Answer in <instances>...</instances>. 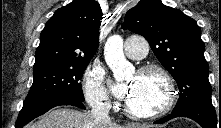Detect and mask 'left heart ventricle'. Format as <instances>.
Instances as JSON below:
<instances>
[{
  "mask_svg": "<svg viewBox=\"0 0 221 128\" xmlns=\"http://www.w3.org/2000/svg\"><path fill=\"white\" fill-rule=\"evenodd\" d=\"M133 90L126 99L129 107L134 111L155 109L156 103L164 99V83L160 76L154 73L141 77H131Z\"/></svg>",
  "mask_w": 221,
  "mask_h": 128,
  "instance_id": "obj_1",
  "label": "left heart ventricle"
}]
</instances>
